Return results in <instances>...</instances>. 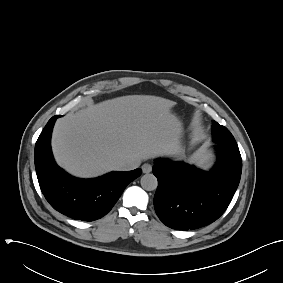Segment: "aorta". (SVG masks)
<instances>
[{"label": "aorta", "mask_w": 283, "mask_h": 283, "mask_svg": "<svg viewBox=\"0 0 283 283\" xmlns=\"http://www.w3.org/2000/svg\"><path fill=\"white\" fill-rule=\"evenodd\" d=\"M141 186L144 190L153 191L157 188L158 181L153 174H145L141 177Z\"/></svg>", "instance_id": "1"}]
</instances>
